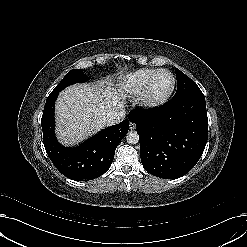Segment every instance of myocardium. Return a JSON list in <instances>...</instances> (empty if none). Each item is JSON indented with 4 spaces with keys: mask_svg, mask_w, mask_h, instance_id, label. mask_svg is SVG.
Returning <instances> with one entry per match:
<instances>
[{
    "mask_svg": "<svg viewBox=\"0 0 247 247\" xmlns=\"http://www.w3.org/2000/svg\"><path fill=\"white\" fill-rule=\"evenodd\" d=\"M166 73L171 78V85L170 87L163 93H156L154 90V83L157 77L162 74ZM176 85V80L174 75L166 69H159L157 70L154 75L151 77L149 82L147 83L145 89L138 97V104L144 109H150L157 107L163 103H165L170 96L172 95Z\"/></svg>",
    "mask_w": 247,
    "mask_h": 247,
    "instance_id": "1",
    "label": "myocardium"
}]
</instances>
